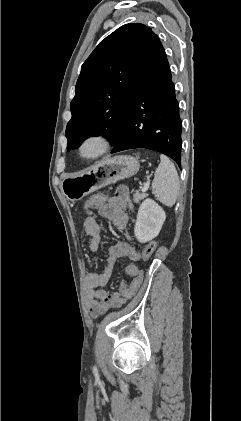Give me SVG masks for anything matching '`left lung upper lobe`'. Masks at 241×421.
I'll use <instances>...</instances> for the list:
<instances>
[{"label": "left lung upper lobe", "mask_w": 241, "mask_h": 421, "mask_svg": "<svg viewBox=\"0 0 241 421\" xmlns=\"http://www.w3.org/2000/svg\"><path fill=\"white\" fill-rule=\"evenodd\" d=\"M157 35L139 23L126 24L106 37L81 68L66 127L67 150L88 137L103 135L114 145Z\"/></svg>", "instance_id": "obj_1"}]
</instances>
